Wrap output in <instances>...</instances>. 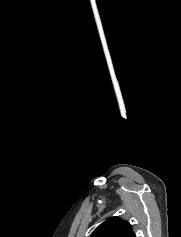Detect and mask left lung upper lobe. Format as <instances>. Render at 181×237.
Masks as SVG:
<instances>
[{
	"mask_svg": "<svg viewBox=\"0 0 181 237\" xmlns=\"http://www.w3.org/2000/svg\"><path fill=\"white\" fill-rule=\"evenodd\" d=\"M90 237H136L132 226L119 217H111L100 224Z\"/></svg>",
	"mask_w": 181,
	"mask_h": 237,
	"instance_id": "obj_1",
	"label": "left lung upper lobe"
}]
</instances>
